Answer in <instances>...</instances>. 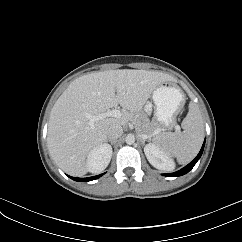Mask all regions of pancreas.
<instances>
[{
  "instance_id": "pancreas-1",
  "label": "pancreas",
  "mask_w": 242,
  "mask_h": 242,
  "mask_svg": "<svg viewBox=\"0 0 242 242\" xmlns=\"http://www.w3.org/2000/svg\"><path fill=\"white\" fill-rule=\"evenodd\" d=\"M137 133L142 136V135H147V136H153L156 131H159V127L156 123L150 122L149 119L141 115L139 118H136L133 121Z\"/></svg>"
}]
</instances>
